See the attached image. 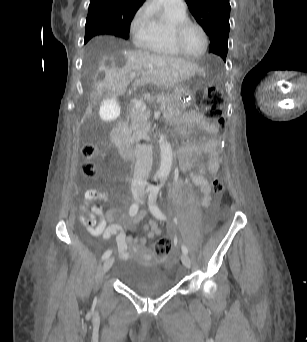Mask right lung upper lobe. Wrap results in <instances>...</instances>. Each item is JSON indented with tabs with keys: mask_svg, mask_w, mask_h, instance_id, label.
Listing matches in <instances>:
<instances>
[{
	"mask_svg": "<svg viewBox=\"0 0 307 342\" xmlns=\"http://www.w3.org/2000/svg\"><path fill=\"white\" fill-rule=\"evenodd\" d=\"M145 0H91L87 19L110 30L129 32L130 23Z\"/></svg>",
	"mask_w": 307,
	"mask_h": 342,
	"instance_id": "obj_1",
	"label": "right lung upper lobe"
}]
</instances>
